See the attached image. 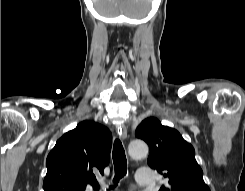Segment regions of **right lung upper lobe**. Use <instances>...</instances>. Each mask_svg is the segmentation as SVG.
<instances>
[{"label":"right lung upper lobe","mask_w":245,"mask_h":191,"mask_svg":"<svg viewBox=\"0 0 245 191\" xmlns=\"http://www.w3.org/2000/svg\"><path fill=\"white\" fill-rule=\"evenodd\" d=\"M111 132L94 121H83L57 140L49 153L44 191H85L97 183L109 163Z\"/></svg>","instance_id":"cb5924a9"}]
</instances>
